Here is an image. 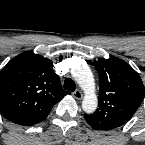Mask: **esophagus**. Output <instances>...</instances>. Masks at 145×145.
Segmentation results:
<instances>
[{"instance_id":"obj_1","label":"esophagus","mask_w":145,"mask_h":145,"mask_svg":"<svg viewBox=\"0 0 145 145\" xmlns=\"http://www.w3.org/2000/svg\"><path fill=\"white\" fill-rule=\"evenodd\" d=\"M73 96L75 99L81 100L83 98V94L80 90H76L73 92Z\"/></svg>"}]
</instances>
